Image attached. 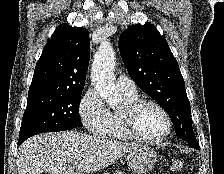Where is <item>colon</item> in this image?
<instances>
[{
	"mask_svg": "<svg viewBox=\"0 0 224 174\" xmlns=\"http://www.w3.org/2000/svg\"><path fill=\"white\" fill-rule=\"evenodd\" d=\"M184 168V164L180 159H173L170 162V170L172 172L178 173L181 172Z\"/></svg>",
	"mask_w": 224,
	"mask_h": 174,
	"instance_id": "obj_1",
	"label": "colon"
}]
</instances>
